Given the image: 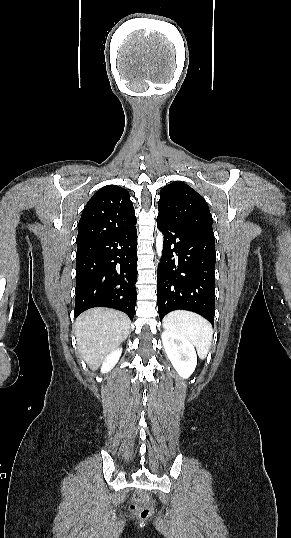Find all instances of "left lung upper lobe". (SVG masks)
I'll list each match as a JSON object with an SVG mask.
<instances>
[{
    "mask_svg": "<svg viewBox=\"0 0 291 538\" xmlns=\"http://www.w3.org/2000/svg\"><path fill=\"white\" fill-rule=\"evenodd\" d=\"M158 215L180 227L213 233L212 216L205 199L183 182H173L160 191Z\"/></svg>",
    "mask_w": 291,
    "mask_h": 538,
    "instance_id": "left-lung-upper-lobe-1",
    "label": "left lung upper lobe"
}]
</instances>
